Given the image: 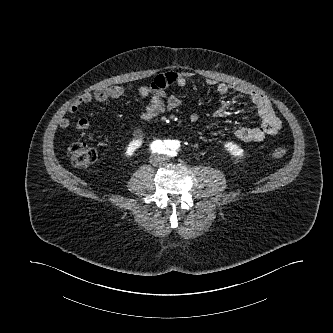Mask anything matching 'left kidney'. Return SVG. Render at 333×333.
<instances>
[{
    "label": "left kidney",
    "instance_id": "obj_1",
    "mask_svg": "<svg viewBox=\"0 0 333 333\" xmlns=\"http://www.w3.org/2000/svg\"><path fill=\"white\" fill-rule=\"evenodd\" d=\"M225 148L230 152L231 155L234 157H242L243 156V149H241L238 145L228 142L225 144Z\"/></svg>",
    "mask_w": 333,
    "mask_h": 333
}]
</instances>
